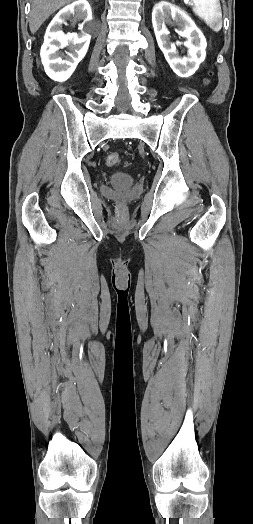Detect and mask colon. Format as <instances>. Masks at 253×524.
Segmentation results:
<instances>
[{
  "instance_id": "1",
  "label": "colon",
  "mask_w": 253,
  "mask_h": 524,
  "mask_svg": "<svg viewBox=\"0 0 253 524\" xmlns=\"http://www.w3.org/2000/svg\"><path fill=\"white\" fill-rule=\"evenodd\" d=\"M121 163V158L118 152H110L106 156V164L110 167L118 166Z\"/></svg>"
}]
</instances>
